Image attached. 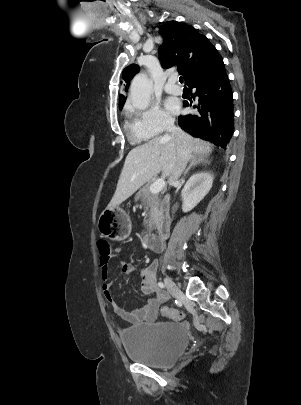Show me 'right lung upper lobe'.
<instances>
[{"mask_svg":"<svg viewBox=\"0 0 301 405\" xmlns=\"http://www.w3.org/2000/svg\"><path fill=\"white\" fill-rule=\"evenodd\" d=\"M163 43L158 49L163 68L178 64V71L184 76L186 84L209 72L222 59L214 45L193 26L177 21L164 23L160 30ZM139 67L132 64L124 69L123 80L129 82L138 72ZM129 84L126 85V90ZM125 103L123 95L119 96V108Z\"/></svg>","mask_w":301,"mask_h":405,"instance_id":"obj_1","label":"right lung upper lobe"}]
</instances>
